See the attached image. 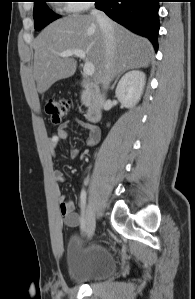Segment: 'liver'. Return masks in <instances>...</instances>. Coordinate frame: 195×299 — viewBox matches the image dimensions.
Wrapping results in <instances>:
<instances>
[{
  "mask_svg": "<svg viewBox=\"0 0 195 299\" xmlns=\"http://www.w3.org/2000/svg\"><path fill=\"white\" fill-rule=\"evenodd\" d=\"M112 23L116 47L109 71L111 78L125 70L148 67L154 53L149 40ZM33 48V77L40 94L56 81L74 75L77 61L73 55H58L68 49H80L86 53L87 61L95 67L94 79L97 82L103 83L108 73L103 34L92 15H70L54 21L36 37Z\"/></svg>",
  "mask_w": 195,
  "mask_h": 299,
  "instance_id": "liver-1",
  "label": "liver"
}]
</instances>
